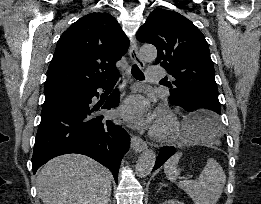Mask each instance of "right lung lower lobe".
<instances>
[{
  "instance_id": "98d812e1",
  "label": "right lung lower lobe",
  "mask_w": 261,
  "mask_h": 204,
  "mask_svg": "<svg viewBox=\"0 0 261 204\" xmlns=\"http://www.w3.org/2000/svg\"><path fill=\"white\" fill-rule=\"evenodd\" d=\"M109 81L45 98L32 156L34 173L56 156L80 153L109 168L117 182L130 137L122 127L97 115L101 105L92 103L93 96H99L97 89L106 88ZM118 105L119 94L114 90L102 109Z\"/></svg>"
}]
</instances>
